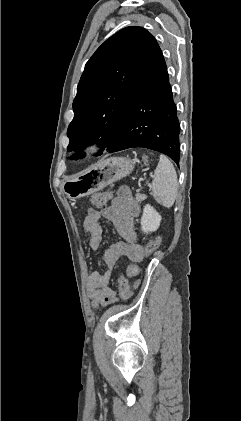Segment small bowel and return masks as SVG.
Instances as JSON below:
<instances>
[{"label": "small bowel", "instance_id": "1", "mask_svg": "<svg viewBox=\"0 0 241 421\" xmlns=\"http://www.w3.org/2000/svg\"><path fill=\"white\" fill-rule=\"evenodd\" d=\"M139 213L140 206L133 198L131 190L127 186H122L109 206L90 209L85 217L83 227L89 236V246L92 250H98L102 243L101 219L111 221L123 238V241L113 243L104 251L103 262L106 271H95L88 276L87 292L95 309L118 300L116 293L109 287L116 262L122 257L139 262L143 257V247L137 242L134 228V218Z\"/></svg>", "mask_w": 241, "mask_h": 421}]
</instances>
